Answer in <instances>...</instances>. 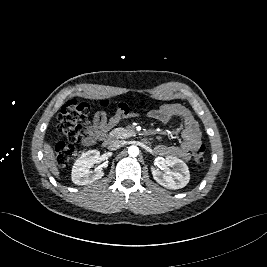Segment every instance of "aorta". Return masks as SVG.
Instances as JSON below:
<instances>
[{
  "mask_svg": "<svg viewBox=\"0 0 267 267\" xmlns=\"http://www.w3.org/2000/svg\"><path fill=\"white\" fill-rule=\"evenodd\" d=\"M128 154L130 157H137L139 155V148L135 145H132L128 148Z\"/></svg>",
  "mask_w": 267,
  "mask_h": 267,
  "instance_id": "obj_1",
  "label": "aorta"
}]
</instances>
